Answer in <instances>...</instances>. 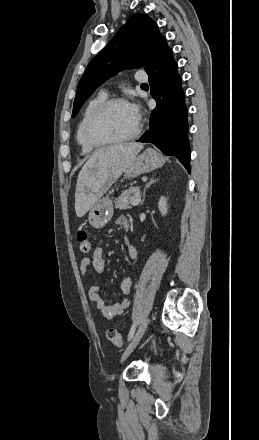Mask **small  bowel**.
<instances>
[{"mask_svg":"<svg viewBox=\"0 0 259 440\" xmlns=\"http://www.w3.org/2000/svg\"><path fill=\"white\" fill-rule=\"evenodd\" d=\"M116 223L119 226L127 227L128 220L125 216H120L117 218ZM126 244V252L130 259L134 260L137 258V249L129 243V241L125 240ZM93 269L98 274H103L106 269V263L104 259L103 249L101 247H96L90 258H83L80 262V274L83 279L86 278L87 273ZM133 285L132 278L126 276L121 281V291L123 294L128 295L131 292ZM89 299L95 303L97 309L102 313L103 317L111 321L115 319L117 316L121 315L125 312L130 306L129 299H123L120 303H115L112 305L107 304L99 295V287L97 284H93L90 286L88 291Z\"/></svg>","mask_w":259,"mask_h":440,"instance_id":"small-bowel-1","label":"small bowel"}]
</instances>
